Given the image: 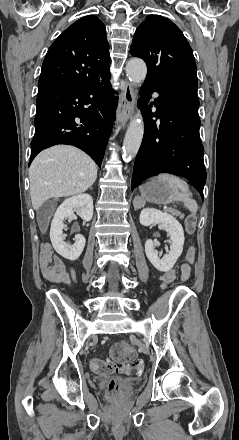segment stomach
Returning <instances> with one entry per match:
<instances>
[{
    "mask_svg": "<svg viewBox=\"0 0 239 440\" xmlns=\"http://www.w3.org/2000/svg\"><path fill=\"white\" fill-rule=\"evenodd\" d=\"M179 190L176 186H171L168 182H163L159 178H152L150 182H146L140 186V194L142 200L152 202V204H171L176 202V194Z\"/></svg>",
    "mask_w": 239,
    "mask_h": 440,
    "instance_id": "stomach-1",
    "label": "stomach"
}]
</instances>
